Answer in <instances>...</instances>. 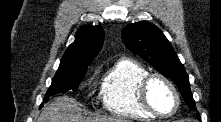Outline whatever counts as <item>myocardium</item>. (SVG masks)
Masks as SVG:
<instances>
[{"mask_svg": "<svg viewBox=\"0 0 221 122\" xmlns=\"http://www.w3.org/2000/svg\"><path fill=\"white\" fill-rule=\"evenodd\" d=\"M155 79L161 80L162 82H164L172 91L174 98H175V107L173 109L172 112L164 114V113H160L159 111H157L153 105L150 102L149 99V86L151 84V82ZM137 94H138V99L142 105V107L149 112L150 114H152L154 117H158V118H170L172 116H174L181 105V98H180V94L179 91L177 89V87L175 86V84L165 75L161 74V73H149L147 74L138 84L137 87Z\"/></svg>", "mask_w": 221, "mask_h": 122, "instance_id": "f54148a6", "label": "myocardium"}]
</instances>
